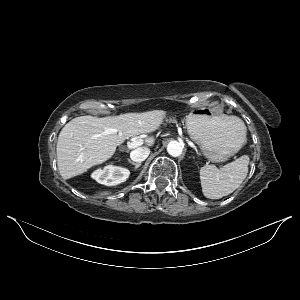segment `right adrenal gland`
<instances>
[{
    "label": "right adrenal gland",
    "instance_id": "obj_1",
    "mask_svg": "<svg viewBox=\"0 0 300 300\" xmlns=\"http://www.w3.org/2000/svg\"><path fill=\"white\" fill-rule=\"evenodd\" d=\"M128 162L135 166V168H134L135 170L141 166V162L135 163V162L131 161L130 159H128Z\"/></svg>",
    "mask_w": 300,
    "mask_h": 300
}]
</instances>
